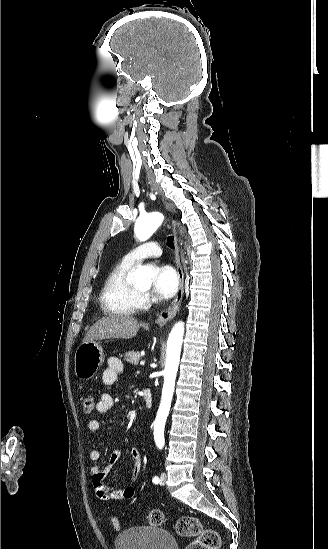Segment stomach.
<instances>
[{
  "label": "stomach",
  "mask_w": 328,
  "mask_h": 549,
  "mask_svg": "<svg viewBox=\"0 0 328 549\" xmlns=\"http://www.w3.org/2000/svg\"><path fill=\"white\" fill-rule=\"evenodd\" d=\"M104 361V353L97 341H85L79 345L75 353V375L81 381H89L95 377Z\"/></svg>",
  "instance_id": "obj_1"
}]
</instances>
